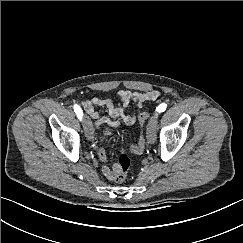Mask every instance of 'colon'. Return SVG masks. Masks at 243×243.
<instances>
[{
  "label": "colon",
  "instance_id": "colon-1",
  "mask_svg": "<svg viewBox=\"0 0 243 243\" xmlns=\"http://www.w3.org/2000/svg\"><path fill=\"white\" fill-rule=\"evenodd\" d=\"M148 117H149V112L145 111V112L140 113L138 116L139 123L141 125H144L145 122L147 121ZM144 147H145V140L143 137H140L137 144L132 145V149L135 153L142 152ZM129 167H130L129 157L127 155L119 156L116 164L113 166V168L115 170L114 181L117 183H122L126 178V174H127Z\"/></svg>",
  "mask_w": 243,
  "mask_h": 243
}]
</instances>
